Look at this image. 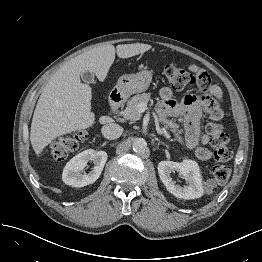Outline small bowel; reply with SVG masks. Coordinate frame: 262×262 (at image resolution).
Listing matches in <instances>:
<instances>
[{
  "label": "small bowel",
  "mask_w": 262,
  "mask_h": 262,
  "mask_svg": "<svg viewBox=\"0 0 262 262\" xmlns=\"http://www.w3.org/2000/svg\"><path fill=\"white\" fill-rule=\"evenodd\" d=\"M192 74L199 75L202 69L195 64L188 66ZM201 93L199 96L187 95L181 102L174 99L170 88L164 87L160 90L161 101L159 104L162 112L171 111L174 116L181 118L183 131H173L175 138L187 148H195L201 160L212 158V151L205 147L210 136L208 132L201 133V118L207 113L214 121L222 118L221 103L223 93L221 88L211 82L210 77H200Z\"/></svg>",
  "instance_id": "obj_1"
}]
</instances>
